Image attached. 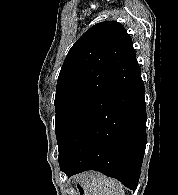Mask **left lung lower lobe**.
Returning <instances> with one entry per match:
<instances>
[{
    "label": "left lung lower lobe",
    "mask_w": 178,
    "mask_h": 195,
    "mask_svg": "<svg viewBox=\"0 0 178 195\" xmlns=\"http://www.w3.org/2000/svg\"><path fill=\"white\" fill-rule=\"evenodd\" d=\"M146 145L141 71L109 100L59 155L68 177L96 170L136 189Z\"/></svg>",
    "instance_id": "0a47b994"
}]
</instances>
